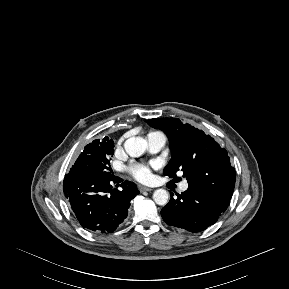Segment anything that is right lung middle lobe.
<instances>
[{
  "label": "right lung middle lobe",
  "mask_w": 289,
  "mask_h": 289,
  "mask_svg": "<svg viewBox=\"0 0 289 289\" xmlns=\"http://www.w3.org/2000/svg\"><path fill=\"white\" fill-rule=\"evenodd\" d=\"M114 142L105 137L102 141L94 140L84 147L72 166V169L80 170L96 178L108 179L112 177L110 156L114 154Z\"/></svg>",
  "instance_id": "1"
}]
</instances>
